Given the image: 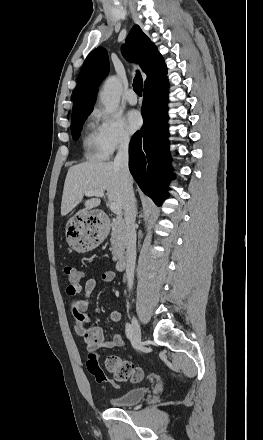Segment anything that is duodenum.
<instances>
[{
  "instance_id": "1",
  "label": "duodenum",
  "mask_w": 263,
  "mask_h": 440,
  "mask_svg": "<svg viewBox=\"0 0 263 440\" xmlns=\"http://www.w3.org/2000/svg\"><path fill=\"white\" fill-rule=\"evenodd\" d=\"M97 219H98L99 221H102V220H103L101 217H97ZM126 262H127V257H126V254L123 252V253H121V254L119 255V257H118V259H117V261H116V264H115L116 269H117L118 271L123 270V269L125 268Z\"/></svg>"
}]
</instances>
